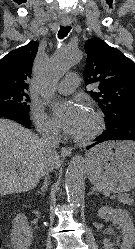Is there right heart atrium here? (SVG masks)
<instances>
[{
    "label": "right heart atrium",
    "instance_id": "obj_1",
    "mask_svg": "<svg viewBox=\"0 0 135 249\" xmlns=\"http://www.w3.org/2000/svg\"><path fill=\"white\" fill-rule=\"evenodd\" d=\"M31 117L37 129L42 134L58 135L59 128L56 123L44 112L43 108L34 104L31 108Z\"/></svg>",
    "mask_w": 135,
    "mask_h": 249
}]
</instances>
